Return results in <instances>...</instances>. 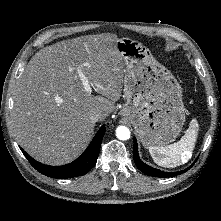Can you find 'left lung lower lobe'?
Masks as SVG:
<instances>
[{"label": "left lung lower lobe", "instance_id": "1", "mask_svg": "<svg viewBox=\"0 0 221 221\" xmlns=\"http://www.w3.org/2000/svg\"><path fill=\"white\" fill-rule=\"evenodd\" d=\"M133 156H134V162L137 165V167L140 169V171H142L147 176H156V177H161V178L173 177V176L186 172L192 167L191 165L187 169L183 171H179V172H164V171H160L158 169L148 166L147 164L143 163L139 158L138 146H137V142L135 138H134V145H133Z\"/></svg>", "mask_w": 221, "mask_h": 221}]
</instances>
